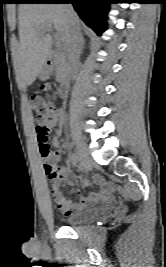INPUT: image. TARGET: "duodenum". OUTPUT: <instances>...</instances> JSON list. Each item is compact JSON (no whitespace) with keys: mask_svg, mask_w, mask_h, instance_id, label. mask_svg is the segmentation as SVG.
Segmentation results:
<instances>
[{"mask_svg":"<svg viewBox=\"0 0 166 267\" xmlns=\"http://www.w3.org/2000/svg\"><path fill=\"white\" fill-rule=\"evenodd\" d=\"M44 71L48 74H51L53 72H57L61 76V87L59 90V95L61 98H65L68 95L70 83L68 78L62 71L59 70V66L56 63V61L53 59V57L50 55L45 59L44 62Z\"/></svg>","mask_w":166,"mask_h":267,"instance_id":"410a0bca","label":"duodenum"}]
</instances>
